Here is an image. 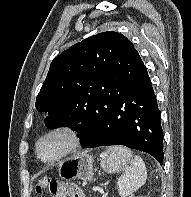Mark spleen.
<instances>
[{
  "label": "spleen",
  "instance_id": "obj_1",
  "mask_svg": "<svg viewBox=\"0 0 191 197\" xmlns=\"http://www.w3.org/2000/svg\"><path fill=\"white\" fill-rule=\"evenodd\" d=\"M108 151L114 155V160L125 166V173L118 179L117 185L121 197L129 196L143 186L147 179L144 161L140 156H134L128 148L123 146H114Z\"/></svg>",
  "mask_w": 191,
  "mask_h": 197
}]
</instances>
